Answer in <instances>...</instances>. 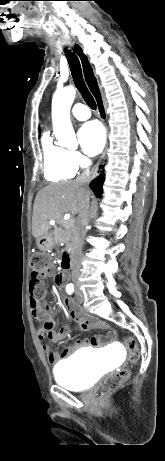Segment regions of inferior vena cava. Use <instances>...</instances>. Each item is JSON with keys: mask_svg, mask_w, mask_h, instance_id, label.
<instances>
[{"mask_svg": "<svg viewBox=\"0 0 165 461\" xmlns=\"http://www.w3.org/2000/svg\"><path fill=\"white\" fill-rule=\"evenodd\" d=\"M88 172L80 176L77 181L80 185L84 186L88 182L87 178ZM89 200L90 198L87 197L85 201V206L83 210L79 214L78 222H77V229H76V236H75V248L72 260V279L76 280L80 275L81 269V253L82 247L84 243V238L86 234V226L88 225L90 211H89Z\"/></svg>", "mask_w": 165, "mask_h": 461, "instance_id": "1", "label": "inferior vena cava"}]
</instances>
